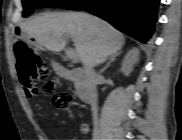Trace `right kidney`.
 Segmentation results:
<instances>
[{"label":"right kidney","mask_w":182,"mask_h":140,"mask_svg":"<svg viewBox=\"0 0 182 140\" xmlns=\"http://www.w3.org/2000/svg\"><path fill=\"white\" fill-rule=\"evenodd\" d=\"M138 59H139L138 49L134 48L127 53L122 62V68H121L125 76H129V74L132 72L134 65L138 62Z\"/></svg>","instance_id":"right-kidney-1"}]
</instances>
